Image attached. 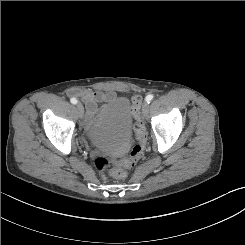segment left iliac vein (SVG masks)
Returning <instances> with one entry per match:
<instances>
[{"mask_svg":"<svg viewBox=\"0 0 245 245\" xmlns=\"http://www.w3.org/2000/svg\"><path fill=\"white\" fill-rule=\"evenodd\" d=\"M142 114L145 118H148V114H149V104L147 102H144L143 106H142Z\"/></svg>","mask_w":245,"mask_h":245,"instance_id":"4c4485c4","label":"left iliac vein"}]
</instances>
